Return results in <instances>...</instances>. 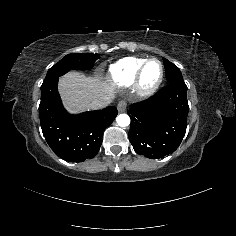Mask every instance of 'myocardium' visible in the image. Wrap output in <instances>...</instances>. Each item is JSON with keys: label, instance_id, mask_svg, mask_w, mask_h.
Here are the masks:
<instances>
[{"label": "myocardium", "instance_id": "myocardium-1", "mask_svg": "<svg viewBox=\"0 0 236 236\" xmlns=\"http://www.w3.org/2000/svg\"><path fill=\"white\" fill-rule=\"evenodd\" d=\"M152 61H157L161 65L162 74H161V77L158 80V82L153 87L144 88L141 85V79H142L143 73H144L147 65ZM164 79H165V66H164L163 62L156 57L148 58L143 62V64L140 66L139 70L137 71V74H136L134 82H133L134 91L141 98L151 97L160 89Z\"/></svg>", "mask_w": 236, "mask_h": 236}]
</instances>
